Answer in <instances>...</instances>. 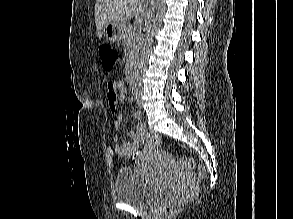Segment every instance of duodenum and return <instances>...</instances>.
Wrapping results in <instances>:
<instances>
[{"label":"duodenum","mask_w":293,"mask_h":219,"mask_svg":"<svg viewBox=\"0 0 293 219\" xmlns=\"http://www.w3.org/2000/svg\"><path fill=\"white\" fill-rule=\"evenodd\" d=\"M127 78L131 84H133V85L135 84V71H134L133 66L129 67L128 72H127Z\"/></svg>","instance_id":"obj_1"}]
</instances>
